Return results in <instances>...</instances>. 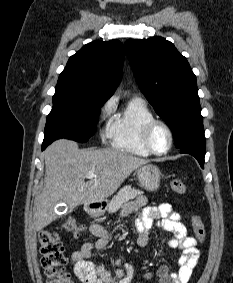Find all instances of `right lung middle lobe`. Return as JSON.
Listing matches in <instances>:
<instances>
[{"label":"right lung middle lobe","instance_id":"obj_1","mask_svg":"<svg viewBox=\"0 0 233 283\" xmlns=\"http://www.w3.org/2000/svg\"><path fill=\"white\" fill-rule=\"evenodd\" d=\"M103 104L66 90H56L53 108L47 117L43 144L49 145L60 138L87 142L96 131Z\"/></svg>","mask_w":233,"mask_h":283}]
</instances>
